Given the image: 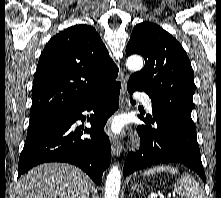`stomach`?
<instances>
[{"label":"stomach","instance_id":"obj_1","mask_svg":"<svg viewBox=\"0 0 221 198\" xmlns=\"http://www.w3.org/2000/svg\"><path fill=\"white\" fill-rule=\"evenodd\" d=\"M132 189H133V190H138V189H139V186L135 185V186L132 187Z\"/></svg>","mask_w":221,"mask_h":198}]
</instances>
